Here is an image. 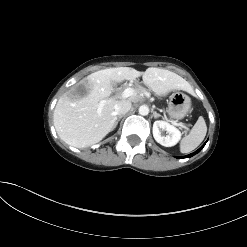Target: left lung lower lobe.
Wrapping results in <instances>:
<instances>
[{
    "label": "left lung lower lobe",
    "mask_w": 247,
    "mask_h": 247,
    "mask_svg": "<svg viewBox=\"0 0 247 247\" xmlns=\"http://www.w3.org/2000/svg\"><path fill=\"white\" fill-rule=\"evenodd\" d=\"M205 144H206V142L197 151H195V152H193V153H191L189 155H186V156H181L179 158H189V157L195 155L196 153H198L205 146Z\"/></svg>",
    "instance_id": "1"
}]
</instances>
